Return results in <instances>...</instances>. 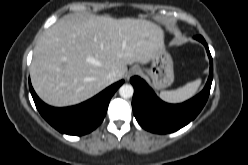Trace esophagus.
Listing matches in <instances>:
<instances>
[{
	"label": "esophagus",
	"mask_w": 248,
	"mask_h": 165,
	"mask_svg": "<svg viewBox=\"0 0 248 165\" xmlns=\"http://www.w3.org/2000/svg\"><path fill=\"white\" fill-rule=\"evenodd\" d=\"M140 72H141L140 68L134 66V67H132V68L129 69V71H128L127 74H126V78L129 79L131 76L137 75V74H139Z\"/></svg>",
	"instance_id": "obj_1"
}]
</instances>
